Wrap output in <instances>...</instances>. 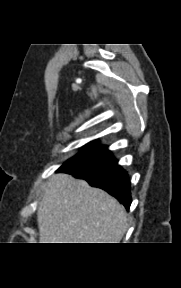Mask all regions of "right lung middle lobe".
Returning a JSON list of instances; mask_svg holds the SVG:
<instances>
[{"mask_svg": "<svg viewBox=\"0 0 181 288\" xmlns=\"http://www.w3.org/2000/svg\"><path fill=\"white\" fill-rule=\"evenodd\" d=\"M113 159L110 152L90 146L87 149L81 151L79 154H77L75 157L71 158L67 162H65L62 167L70 166L73 164H79V163H94V162H100L104 160H110Z\"/></svg>", "mask_w": 181, "mask_h": 288, "instance_id": "right-lung-middle-lobe-1", "label": "right lung middle lobe"}]
</instances>
